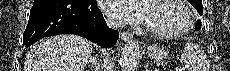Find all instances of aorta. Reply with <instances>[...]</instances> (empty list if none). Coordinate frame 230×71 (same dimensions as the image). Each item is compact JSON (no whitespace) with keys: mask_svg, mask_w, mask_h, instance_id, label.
<instances>
[{"mask_svg":"<svg viewBox=\"0 0 230 71\" xmlns=\"http://www.w3.org/2000/svg\"><path fill=\"white\" fill-rule=\"evenodd\" d=\"M140 44L137 39L131 38L123 47L119 60L121 71H135L140 62Z\"/></svg>","mask_w":230,"mask_h":71,"instance_id":"762f6f07","label":"aorta"}]
</instances>
